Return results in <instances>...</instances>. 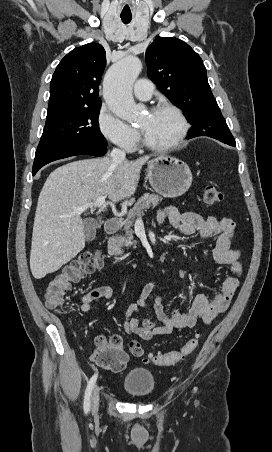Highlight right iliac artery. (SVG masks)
<instances>
[{
    "instance_id": "obj_1",
    "label": "right iliac artery",
    "mask_w": 272,
    "mask_h": 452,
    "mask_svg": "<svg viewBox=\"0 0 272 452\" xmlns=\"http://www.w3.org/2000/svg\"><path fill=\"white\" fill-rule=\"evenodd\" d=\"M96 379H97V374L93 375L87 384V388H86L85 396H84V412L86 414L90 410V398H91L92 389L94 387Z\"/></svg>"
}]
</instances>
